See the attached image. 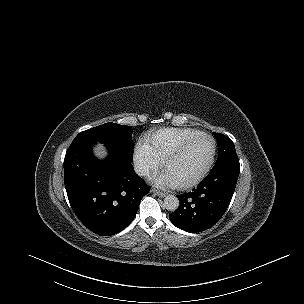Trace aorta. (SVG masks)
I'll return each mask as SVG.
<instances>
[{
	"label": "aorta",
	"instance_id": "1",
	"mask_svg": "<svg viewBox=\"0 0 304 304\" xmlns=\"http://www.w3.org/2000/svg\"><path fill=\"white\" fill-rule=\"evenodd\" d=\"M180 205L179 199L174 195H167L163 201V207L168 211H176Z\"/></svg>",
	"mask_w": 304,
	"mask_h": 304
}]
</instances>
